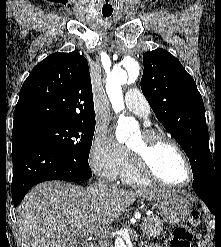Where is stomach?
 <instances>
[{
  "label": "stomach",
  "mask_w": 221,
  "mask_h": 247,
  "mask_svg": "<svg viewBox=\"0 0 221 247\" xmlns=\"http://www.w3.org/2000/svg\"><path fill=\"white\" fill-rule=\"evenodd\" d=\"M154 207L162 221L171 225L181 222L190 211L188 201L176 194H167L158 198Z\"/></svg>",
  "instance_id": "obj_1"
}]
</instances>
